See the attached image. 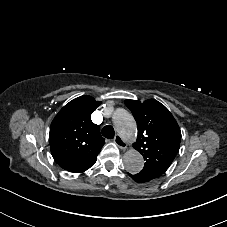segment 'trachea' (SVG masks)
I'll return each mask as SVG.
<instances>
[{
	"label": "trachea",
	"mask_w": 227,
	"mask_h": 227,
	"mask_svg": "<svg viewBox=\"0 0 227 227\" xmlns=\"http://www.w3.org/2000/svg\"><path fill=\"white\" fill-rule=\"evenodd\" d=\"M101 133L107 139H113L115 136L114 128L111 125L105 126Z\"/></svg>",
	"instance_id": "3493384b"
}]
</instances>
